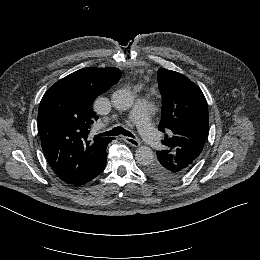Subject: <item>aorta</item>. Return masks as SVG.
Here are the masks:
<instances>
[{"mask_svg":"<svg viewBox=\"0 0 260 260\" xmlns=\"http://www.w3.org/2000/svg\"><path fill=\"white\" fill-rule=\"evenodd\" d=\"M112 103L116 109L124 111L132 107L134 96L131 91L120 89L113 93ZM135 159L139 164L148 166L154 160V153L150 147L140 146L136 150Z\"/></svg>","mask_w":260,"mask_h":260,"instance_id":"aorta-1","label":"aorta"}]
</instances>
